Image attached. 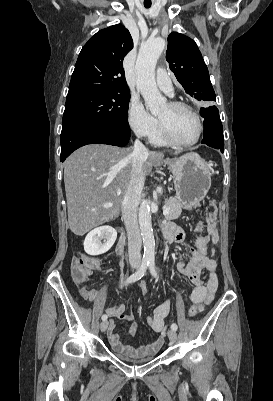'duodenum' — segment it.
Listing matches in <instances>:
<instances>
[{
  "label": "duodenum",
  "instance_id": "1",
  "mask_svg": "<svg viewBox=\"0 0 273 401\" xmlns=\"http://www.w3.org/2000/svg\"><path fill=\"white\" fill-rule=\"evenodd\" d=\"M165 242L166 243L171 242L170 238L166 234H165ZM124 248H125L124 241L120 240V242L118 243V246H117L118 252L122 254L124 252Z\"/></svg>",
  "mask_w": 273,
  "mask_h": 401
}]
</instances>
